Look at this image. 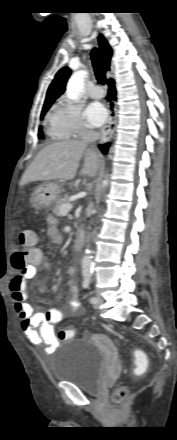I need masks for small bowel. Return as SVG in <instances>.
Instances as JSON below:
<instances>
[{
	"label": "small bowel",
	"mask_w": 177,
	"mask_h": 440,
	"mask_svg": "<svg viewBox=\"0 0 177 440\" xmlns=\"http://www.w3.org/2000/svg\"><path fill=\"white\" fill-rule=\"evenodd\" d=\"M49 227L47 235L55 245L63 243V236L57 229L56 220L53 217L48 218ZM38 257L32 264L23 270H18L10 278L8 288L12 294L16 313L21 320V329L26 338L35 346H43L47 353L53 351L57 346L58 340L54 332V325L61 322L64 314L57 308H47L41 312H34L33 307L28 302L26 294V282L37 274V268L41 266L43 270H48V264L44 263L42 253L37 250ZM70 280L67 282V288L70 292L76 293L77 286L72 280L75 274V268L68 270ZM71 308L70 314L77 315L83 312V307L77 299H71L69 302Z\"/></svg>",
	"instance_id": "obj_1"
}]
</instances>
